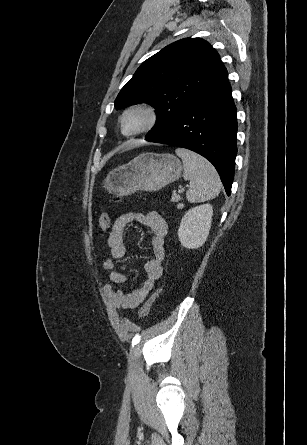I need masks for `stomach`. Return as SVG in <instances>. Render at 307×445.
<instances>
[{"label": "stomach", "mask_w": 307, "mask_h": 445, "mask_svg": "<svg viewBox=\"0 0 307 445\" xmlns=\"http://www.w3.org/2000/svg\"><path fill=\"white\" fill-rule=\"evenodd\" d=\"M182 170V162L174 154L141 152L126 164L110 170L103 184L107 192L120 196H128L136 190L154 192L178 180Z\"/></svg>", "instance_id": "0dacf381"}]
</instances>
